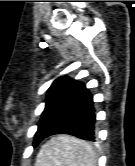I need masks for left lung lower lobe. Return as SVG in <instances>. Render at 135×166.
I'll return each mask as SVG.
<instances>
[{
	"instance_id": "0a47b994",
	"label": "left lung lower lobe",
	"mask_w": 135,
	"mask_h": 166,
	"mask_svg": "<svg viewBox=\"0 0 135 166\" xmlns=\"http://www.w3.org/2000/svg\"><path fill=\"white\" fill-rule=\"evenodd\" d=\"M96 114L93 96L82 82L76 83L65 98L54 105L36 132L33 146L53 134H70L95 141Z\"/></svg>"
}]
</instances>
